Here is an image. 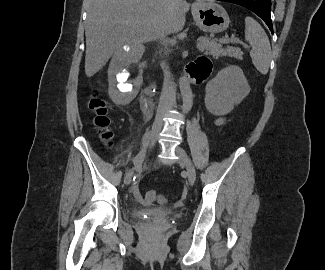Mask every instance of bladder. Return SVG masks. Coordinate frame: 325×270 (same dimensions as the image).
I'll list each match as a JSON object with an SVG mask.
<instances>
[{"label": "bladder", "instance_id": "bladder-1", "mask_svg": "<svg viewBox=\"0 0 325 270\" xmlns=\"http://www.w3.org/2000/svg\"><path fill=\"white\" fill-rule=\"evenodd\" d=\"M146 214L161 218H172L176 216L174 212L166 209H150L146 211Z\"/></svg>", "mask_w": 325, "mask_h": 270}]
</instances>
